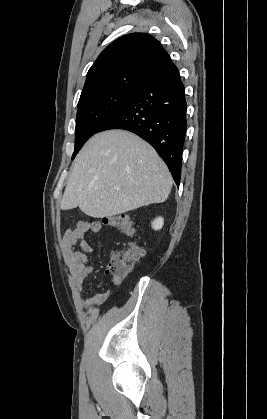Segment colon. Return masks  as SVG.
<instances>
[{"instance_id":"obj_1","label":"colon","mask_w":267,"mask_h":419,"mask_svg":"<svg viewBox=\"0 0 267 419\" xmlns=\"http://www.w3.org/2000/svg\"><path fill=\"white\" fill-rule=\"evenodd\" d=\"M102 223L120 229L127 235H133L136 231L134 221L126 214L106 217L102 220ZM142 255V248L136 244H130L126 249L113 251L106 271L107 274L112 277H123L127 275Z\"/></svg>"}]
</instances>
